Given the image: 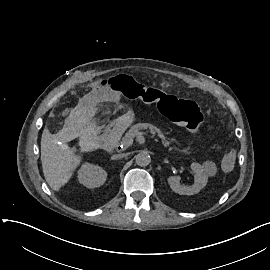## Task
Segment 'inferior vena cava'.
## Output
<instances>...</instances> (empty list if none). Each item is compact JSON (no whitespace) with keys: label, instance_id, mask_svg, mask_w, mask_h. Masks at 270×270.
Masks as SVG:
<instances>
[{"label":"inferior vena cava","instance_id":"inferior-vena-cava-1","mask_svg":"<svg viewBox=\"0 0 270 270\" xmlns=\"http://www.w3.org/2000/svg\"><path fill=\"white\" fill-rule=\"evenodd\" d=\"M125 156H126V154H118V155L112 156V159H121V158H123Z\"/></svg>","mask_w":270,"mask_h":270}]
</instances>
